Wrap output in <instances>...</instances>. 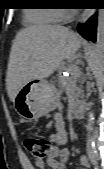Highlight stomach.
<instances>
[{"instance_id": "1", "label": "stomach", "mask_w": 104, "mask_h": 169, "mask_svg": "<svg viewBox=\"0 0 104 169\" xmlns=\"http://www.w3.org/2000/svg\"><path fill=\"white\" fill-rule=\"evenodd\" d=\"M58 102L57 89L53 83L45 79H34L20 89L13 105L20 117L34 120L55 110Z\"/></svg>"}]
</instances>
